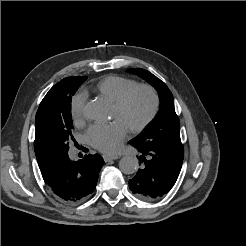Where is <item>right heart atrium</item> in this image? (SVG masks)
I'll list each match as a JSON object with an SVG mask.
<instances>
[{"label":"right heart atrium","mask_w":246,"mask_h":246,"mask_svg":"<svg viewBox=\"0 0 246 246\" xmlns=\"http://www.w3.org/2000/svg\"><path fill=\"white\" fill-rule=\"evenodd\" d=\"M86 103V93L83 91L77 92L71 99L70 111L73 120L79 123L84 118V109Z\"/></svg>","instance_id":"right-heart-atrium-1"}]
</instances>
